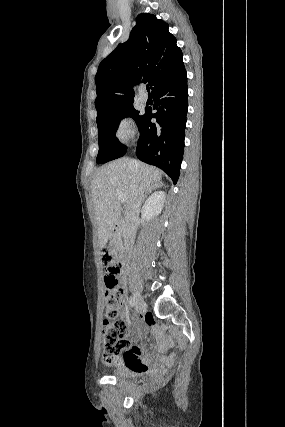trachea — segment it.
Here are the masks:
<instances>
[{
    "mask_svg": "<svg viewBox=\"0 0 285 427\" xmlns=\"http://www.w3.org/2000/svg\"><path fill=\"white\" fill-rule=\"evenodd\" d=\"M146 89H147V91H149V89H150V88H149V85H147V86H146Z\"/></svg>",
    "mask_w": 285,
    "mask_h": 427,
    "instance_id": "obj_1",
    "label": "trachea"
}]
</instances>
